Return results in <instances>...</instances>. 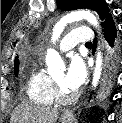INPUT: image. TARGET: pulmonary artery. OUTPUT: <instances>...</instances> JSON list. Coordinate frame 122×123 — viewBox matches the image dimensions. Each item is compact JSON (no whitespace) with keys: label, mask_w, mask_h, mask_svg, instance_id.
<instances>
[{"label":"pulmonary artery","mask_w":122,"mask_h":123,"mask_svg":"<svg viewBox=\"0 0 122 123\" xmlns=\"http://www.w3.org/2000/svg\"><path fill=\"white\" fill-rule=\"evenodd\" d=\"M93 32L88 27H79L70 31L59 44V50L64 52L74 48L79 43L92 41Z\"/></svg>","instance_id":"e3ab8cb5"}]
</instances>
